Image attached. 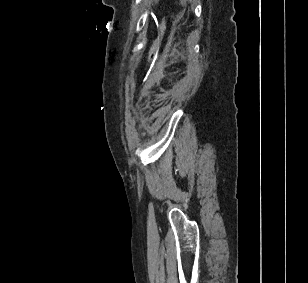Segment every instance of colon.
Returning <instances> with one entry per match:
<instances>
[{
  "label": "colon",
  "mask_w": 308,
  "mask_h": 283,
  "mask_svg": "<svg viewBox=\"0 0 308 283\" xmlns=\"http://www.w3.org/2000/svg\"><path fill=\"white\" fill-rule=\"evenodd\" d=\"M166 31V20L163 19L159 25L156 38L154 39L148 54V62L153 63L157 57L161 42Z\"/></svg>",
  "instance_id": "colon-1"
}]
</instances>
